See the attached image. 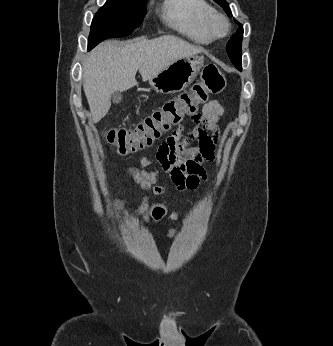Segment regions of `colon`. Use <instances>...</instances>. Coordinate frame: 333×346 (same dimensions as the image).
Listing matches in <instances>:
<instances>
[{
    "label": "colon",
    "instance_id": "1",
    "mask_svg": "<svg viewBox=\"0 0 333 346\" xmlns=\"http://www.w3.org/2000/svg\"><path fill=\"white\" fill-rule=\"evenodd\" d=\"M224 86V77L217 66L209 64L204 68L200 81L190 91L167 101L132 129H109L106 133L107 141L119 154H128L150 146L184 117L190 116L193 122L198 119L199 106L205 104L210 96L219 94ZM164 214L165 210L161 206H155L152 218L160 220Z\"/></svg>",
    "mask_w": 333,
    "mask_h": 346
}]
</instances>
